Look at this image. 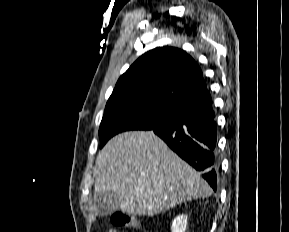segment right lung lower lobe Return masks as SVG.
<instances>
[{
  "label": "right lung lower lobe",
  "instance_id": "obj_1",
  "mask_svg": "<svg viewBox=\"0 0 289 232\" xmlns=\"http://www.w3.org/2000/svg\"><path fill=\"white\" fill-rule=\"evenodd\" d=\"M216 191L219 161L216 154L217 124L212 101L181 110L179 115L152 129Z\"/></svg>",
  "mask_w": 289,
  "mask_h": 232
}]
</instances>
